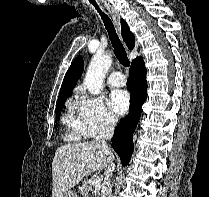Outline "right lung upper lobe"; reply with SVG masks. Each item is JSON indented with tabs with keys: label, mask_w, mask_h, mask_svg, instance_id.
<instances>
[{
	"label": "right lung upper lobe",
	"mask_w": 209,
	"mask_h": 197,
	"mask_svg": "<svg viewBox=\"0 0 209 197\" xmlns=\"http://www.w3.org/2000/svg\"><path fill=\"white\" fill-rule=\"evenodd\" d=\"M121 30H122V37L124 41L126 42L128 48L133 49L135 46V37L133 33L130 31L127 23L123 19H121ZM139 58L141 57H137L136 60ZM83 67H84L83 58L81 56H78L73 61L67 73L65 74L64 81L60 89L58 100L67 98L68 94L76 86L77 80L81 77L82 72H83Z\"/></svg>",
	"instance_id": "cb5924a9"
}]
</instances>
